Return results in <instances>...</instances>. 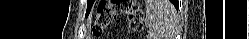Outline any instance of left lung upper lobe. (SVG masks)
<instances>
[{"label": "left lung upper lobe", "instance_id": "obj_1", "mask_svg": "<svg viewBox=\"0 0 249 39\" xmlns=\"http://www.w3.org/2000/svg\"><path fill=\"white\" fill-rule=\"evenodd\" d=\"M93 3H94V1L88 0V7H87V12H88V13H89V11H90V9H91Z\"/></svg>", "mask_w": 249, "mask_h": 39}]
</instances>
